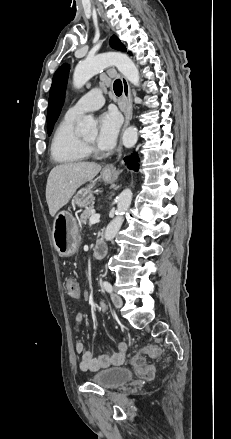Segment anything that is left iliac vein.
Returning a JSON list of instances; mask_svg holds the SVG:
<instances>
[{"label":"left iliac vein","mask_w":231,"mask_h":439,"mask_svg":"<svg viewBox=\"0 0 231 439\" xmlns=\"http://www.w3.org/2000/svg\"><path fill=\"white\" fill-rule=\"evenodd\" d=\"M111 300L113 302V304L115 305L116 308H121L123 305V300L122 298L115 294V293H111Z\"/></svg>","instance_id":"obj_1"}]
</instances>
